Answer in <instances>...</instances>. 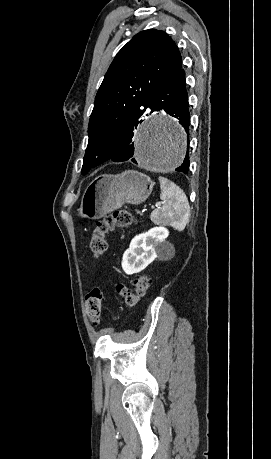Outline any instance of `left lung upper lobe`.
<instances>
[{
	"mask_svg": "<svg viewBox=\"0 0 271 459\" xmlns=\"http://www.w3.org/2000/svg\"><path fill=\"white\" fill-rule=\"evenodd\" d=\"M181 67L179 49L163 31H142L124 45L95 98L83 175L116 153L120 134L148 109V94Z\"/></svg>",
	"mask_w": 271,
	"mask_h": 459,
	"instance_id": "1",
	"label": "left lung upper lobe"
}]
</instances>
